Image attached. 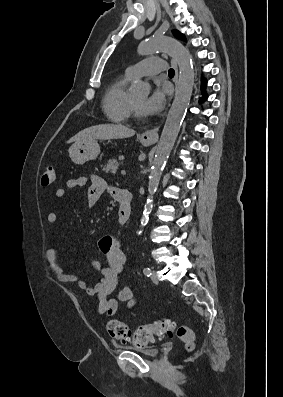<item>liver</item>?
<instances>
[{
	"label": "liver",
	"instance_id": "obj_1",
	"mask_svg": "<svg viewBox=\"0 0 283 397\" xmlns=\"http://www.w3.org/2000/svg\"><path fill=\"white\" fill-rule=\"evenodd\" d=\"M135 135V131L121 124H99L88 127L70 138L67 143L84 142L91 139H122Z\"/></svg>",
	"mask_w": 283,
	"mask_h": 397
}]
</instances>
